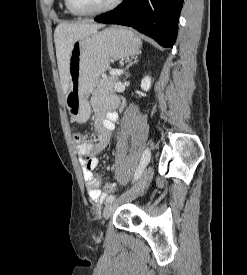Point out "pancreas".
<instances>
[{"label": "pancreas", "instance_id": "obj_1", "mask_svg": "<svg viewBox=\"0 0 247 275\" xmlns=\"http://www.w3.org/2000/svg\"><path fill=\"white\" fill-rule=\"evenodd\" d=\"M117 80H118L117 76L103 77L99 79L97 83V88L94 93L99 94V93H106L109 91H113V87L117 82Z\"/></svg>", "mask_w": 247, "mask_h": 275}]
</instances>
